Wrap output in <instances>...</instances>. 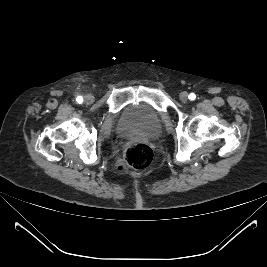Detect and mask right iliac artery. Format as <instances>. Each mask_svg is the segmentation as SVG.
Returning <instances> with one entry per match:
<instances>
[{"label":"right iliac artery","mask_w":267,"mask_h":267,"mask_svg":"<svg viewBox=\"0 0 267 267\" xmlns=\"http://www.w3.org/2000/svg\"><path fill=\"white\" fill-rule=\"evenodd\" d=\"M76 100H77L78 103H82L83 102V98L81 96H78Z\"/></svg>","instance_id":"right-iliac-artery-1"}]
</instances>
